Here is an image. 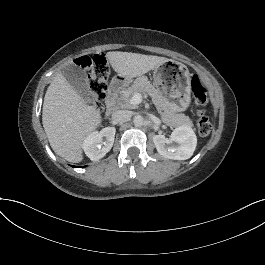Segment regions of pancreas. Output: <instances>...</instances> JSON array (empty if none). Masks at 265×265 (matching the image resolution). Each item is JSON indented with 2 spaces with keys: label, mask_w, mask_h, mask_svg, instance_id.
I'll return each instance as SVG.
<instances>
[{
  "label": "pancreas",
  "mask_w": 265,
  "mask_h": 265,
  "mask_svg": "<svg viewBox=\"0 0 265 265\" xmlns=\"http://www.w3.org/2000/svg\"><path fill=\"white\" fill-rule=\"evenodd\" d=\"M140 93L142 95H149L152 98L154 105L158 110L162 111L161 119L164 123L172 126L186 125L193 127V122L190 121L189 117L181 114L175 115V106L169 102L167 98L162 96L158 90L148 81L146 77L137 78L133 85L123 91L121 99L123 107L127 109H133L134 107L129 103L131 97Z\"/></svg>",
  "instance_id": "pancreas-1"
}]
</instances>
